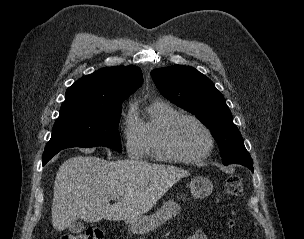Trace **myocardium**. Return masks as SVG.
I'll return each instance as SVG.
<instances>
[{"label": "myocardium", "instance_id": "obj_1", "mask_svg": "<svg viewBox=\"0 0 304 239\" xmlns=\"http://www.w3.org/2000/svg\"><path fill=\"white\" fill-rule=\"evenodd\" d=\"M184 120H191L198 124L205 132L208 139L207 148L197 155H186L182 153L175 145L174 132L177 126ZM215 145L214 136L210 128L197 116L192 114L180 113L173 117L166 125L162 136V148L170 161L182 163H196L206 159L213 151Z\"/></svg>", "mask_w": 304, "mask_h": 239}]
</instances>
